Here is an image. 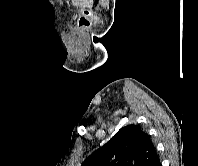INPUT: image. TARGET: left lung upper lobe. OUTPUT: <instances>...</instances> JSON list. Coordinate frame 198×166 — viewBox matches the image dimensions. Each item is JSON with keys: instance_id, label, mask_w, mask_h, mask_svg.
Returning <instances> with one entry per match:
<instances>
[{"instance_id": "1", "label": "left lung upper lobe", "mask_w": 198, "mask_h": 166, "mask_svg": "<svg viewBox=\"0 0 198 166\" xmlns=\"http://www.w3.org/2000/svg\"><path fill=\"white\" fill-rule=\"evenodd\" d=\"M156 156L150 136L139 126L128 125L95 150L82 166H150Z\"/></svg>"}]
</instances>
